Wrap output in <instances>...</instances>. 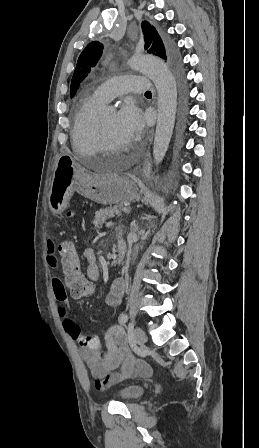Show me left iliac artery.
<instances>
[{"label":"left iliac artery","mask_w":259,"mask_h":448,"mask_svg":"<svg viewBox=\"0 0 259 448\" xmlns=\"http://www.w3.org/2000/svg\"><path fill=\"white\" fill-rule=\"evenodd\" d=\"M127 320H128V315H127V314H122V315L119 317V323H120V324H124V323H126Z\"/></svg>","instance_id":"obj_1"}]
</instances>
